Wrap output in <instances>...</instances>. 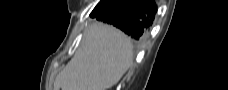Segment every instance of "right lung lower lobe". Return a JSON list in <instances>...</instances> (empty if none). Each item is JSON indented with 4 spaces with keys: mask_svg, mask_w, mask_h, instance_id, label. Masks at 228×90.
Instances as JSON below:
<instances>
[{
    "mask_svg": "<svg viewBox=\"0 0 228 90\" xmlns=\"http://www.w3.org/2000/svg\"><path fill=\"white\" fill-rule=\"evenodd\" d=\"M157 11L153 0H105L90 16L121 29L136 42L145 38Z\"/></svg>",
    "mask_w": 228,
    "mask_h": 90,
    "instance_id": "right-lung-lower-lobe-1",
    "label": "right lung lower lobe"
}]
</instances>
